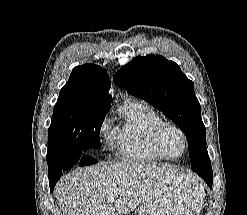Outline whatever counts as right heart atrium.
Masks as SVG:
<instances>
[{
  "label": "right heart atrium",
  "instance_id": "d8ad5b80",
  "mask_svg": "<svg viewBox=\"0 0 247 215\" xmlns=\"http://www.w3.org/2000/svg\"><path fill=\"white\" fill-rule=\"evenodd\" d=\"M99 133L105 138H110V136L112 135L110 118L106 117L101 121L99 125Z\"/></svg>",
  "mask_w": 247,
  "mask_h": 215
}]
</instances>
